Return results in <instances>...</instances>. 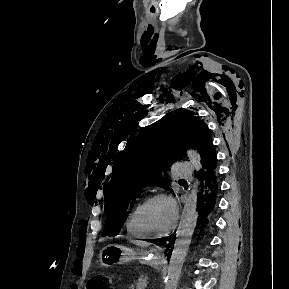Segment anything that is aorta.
<instances>
[{
  "mask_svg": "<svg viewBox=\"0 0 289 289\" xmlns=\"http://www.w3.org/2000/svg\"><path fill=\"white\" fill-rule=\"evenodd\" d=\"M187 157L192 163L194 169L199 171L202 167L199 153L193 149H189L187 151ZM197 194L198 189L194 184L191 186V191L186 199L181 214L174 249L169 261L168 273L165 280V289H177L182 267L197 223Z\"/></svg>",
  "mask_w": 289,
  "mask_h": 289,
  "instance_id": "obj_1",
  "label": "aorta"
}]
</instances>
